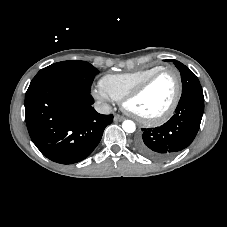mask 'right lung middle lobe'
Here are the masks:
<instances>
[{
    "label": "right lung middle lobe",
    "instance_id": "1",
    "mask_svg": "<svg viewBox=\"0 0 227 227\" xmlns=\"http://www.w3.org/2000/svg\"><path fill=\"white\" fill-rule=\"evenodd\" d=\"M98 73L94 66L85 61L58 62L41 69L31 81L29 88L45 82L58 81L89 92L94 77Z\"/></svg>",
    "mask_w": 227,
    "mask_h": 227
}]
</instances>
